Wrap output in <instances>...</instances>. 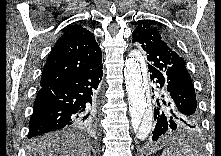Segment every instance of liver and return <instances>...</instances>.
I'll return each instance as SVG.
<instances>
[{
  "label": "liver",
  "instance_id": "6515ba94",
  "mask_svg": "<svg viewBox=\"0 0 221 156\" xmlns=\"http://www.w3.org/2000/svg\"><path fill=\"white\" fill-rule=\"evenodd\" d=\"M90 143L71 132H55L32 141L27 156H90Z\"/></svg>",
  "mask_w": 221,
  "mask_h": 156
}]
</instances>
